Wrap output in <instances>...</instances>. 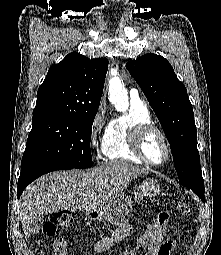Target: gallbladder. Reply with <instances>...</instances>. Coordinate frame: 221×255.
I'll use <instances>...</instances> for the list:
<instances>
[{"instance_id":"gallbladder-1","label":"gallbladder","mask_w":221,"mask_h":255,"mask_svg":"<svg viewBox=\"0 0 221 255\" xmlns=\"http://www.w3.org/2000/svg\"><path fill=\"white\" fill-rule=\"evenodd\" d=\"M44 217L40 216L32 225L31 233L36 234L41 229V226L43 225Z\"/></svg>"}]
</instances>
